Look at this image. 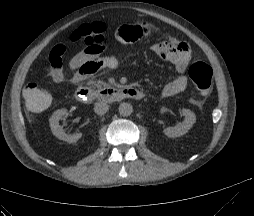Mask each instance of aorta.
Returning <instances> with one entry per match:
<instances>
[{"mask_svg":"<svg viewBox=\"0 0 254 216\" xmlns=\"http://www.w3.org/2000/svg\"><path fill=\"white\" fill-rule=\"evenodd\" d=\"M133 112V107L130 103H121L119 106V113L123 117H128L132 114Z\"/></svg>","mask_w":254,"mask_h":216,"instance_id":"aorta-1","label":"aorta"}]
</instances>
